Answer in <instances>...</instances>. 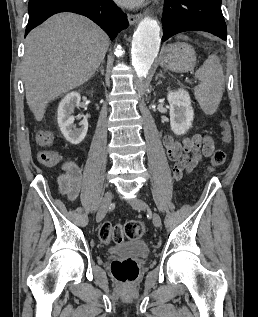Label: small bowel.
<instances>
[{
    "instance_id": "1",
    "label": "small bowel",
    "mask_w": 258,
    "mask_h": 317,
    "mask_svg": "<svg viewBox=\"0 0 258 317\" xmlns=\"http://www.w3.org/2000/svg\"><path fill=\"white\" fill-rule=\"evenodd\" d=\"M53 139L52 131L47 129L36 134V142L40 147H50ZM162 142L168 159L174 163L173 176L176 180H180L184 173L193 171L204 157H210L215 147L213 138L207 134H194L182 140L166 134ZM81 184V168L73 161L64 162L59 177L60 192L73 201L79 195Z\"/></svg>"
}]
</instances>
